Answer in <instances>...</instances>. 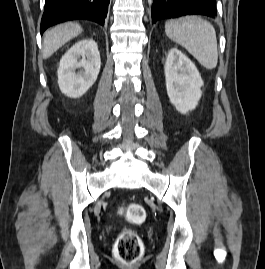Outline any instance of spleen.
Wrapping results in <instances>:
<instances>
[{
	"instance_id": "1",
	"label": "spleen",
	"mask_w": 265,
	"mask_h": 269,
	"mask_svg": "<svg viewBox=\"0 0 265 269\" xmlns=\"http://www.w3.org/2000/svg\"><path fill=\"white\" fill-rule=\"evenodd\" d=\"M165 33L206 69L212 70L217 66L216 32L210 22L195 15L172 19L166 22Z\"/></svg>"
}]
</instances>
